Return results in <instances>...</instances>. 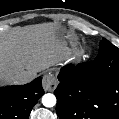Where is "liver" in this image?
Segmentation results:
<instances>
[{
  "label": "liver",
  "instance_id": "liver-1",
  "mask_svg": "<svg viewBox=\"0 0 119 119\" xmlns=\"http://www.w3.org/2000/svg\"><path fill=\"white\" fill-rule=\"evenodd\" d=\"M57 23H42L0 38V84L14 77L45 70L64 58L65 47Z\"/></svg>",
  "mask_w": 119,
  "mask_h": 119
}]
</instances>
